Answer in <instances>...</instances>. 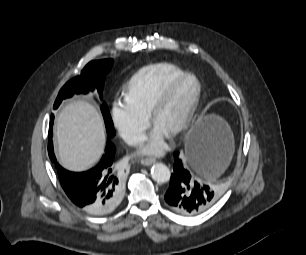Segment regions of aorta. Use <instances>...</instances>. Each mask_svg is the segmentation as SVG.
Returning <instances> with one entry per match:
<instances>
[{"label":"aorta","mask_w":306,"mask_h":255,"mask_svg":"<svg viewBox=\"0 0 306 255\" xmlns=\"http://www.w3.org/2000/svg\"><path fill=\"white\" fill-rule=\"evenodd\" d=\"M151 176L157 183H166L170 180V169L163 163H156L151 168Z\"/></svg>","instance_id":"obj_1"}]
</instances>
